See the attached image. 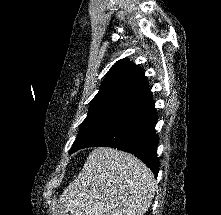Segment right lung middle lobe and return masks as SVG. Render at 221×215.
<instances>
[{
    "instance_id": "dd1d6c3e",
    "label": "right lung middle lobe",
    "mask_w": 221,
    "mask_h": 215,
    "mask_svg": "<svg viewBox=\"0 0 221 215\" xmlns=\"http://www.w3.org/2000/svg\"><path fill=\"white\" fill-rule=\"evenodd\" d=\"M120 119L121 117L114 115L89 113L81 124L77 139L71 149V153L81 149L83 146L108 130Z\"/></svg>"
}]
</instances>
